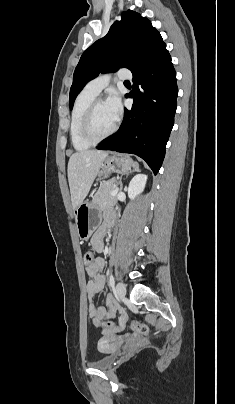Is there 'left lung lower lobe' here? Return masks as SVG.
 Listing matches in <instances>:
<instances>
[{
  "instance_id": "1",
  "label": "left lung lower lobe",
  "mask_w": 235,
  "mask_h": 404,
  "mask_svg": "<svg viewBox=\"0 0 235 404\" xmlns=\"http://www.w3.org/2000/svg\"><path fill=\"white\" fill-rule=\"evenodd\" d=\"M132 74L134 91L126 95L134 98L132 109H125L119 130L98 149L136 154L156 175L177 107L176 73L166 45Z\"/></svg>"
}]
</instances>
